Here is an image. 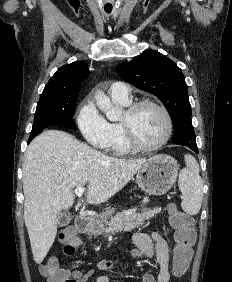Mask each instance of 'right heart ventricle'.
I'll return each mask as SVG.
<instances>
[{"instance_id": "1", "label": "right heart ventricle", "mask_w": 232, "mask_h": 282, "mask_svg": "<svg viewBox=\"0 0 232 282\" xmlns=\"http://www.w3.org/2000/svg\"><path fill=\"white\" fill-rule=\"evenodd\" d=\"M117 104L121 106H128L129 101H122L113 99ZM110 126V142L108 145V150L116 155H125L132 151L130 146L127 144L123 129L120 122H111L109 123Z\"/></svg>"}]
</instances>
